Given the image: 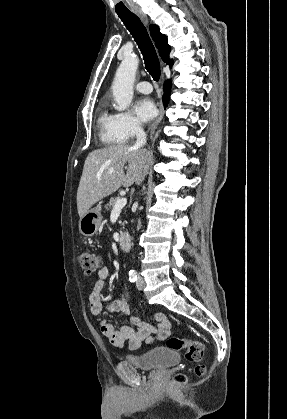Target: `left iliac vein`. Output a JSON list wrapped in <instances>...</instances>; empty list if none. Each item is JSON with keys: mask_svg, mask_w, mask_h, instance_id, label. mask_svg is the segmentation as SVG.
<instances>
[{"mask_svg": "<svg viewBox=\"0 0 287 419\" xmlns=\"http://www.w3.org/2000/svg\"><path fill=\"white\" fill-rule=\"evenodd\" d=\"M136 286H137V289L138 290H142L143 289V287H144V279L141 276L138 278V281L136 283Z\"/></svg>", "mask_w": 287, "mask_h": 419, "instance_id": "obj_1", "label": "left iliac vein"}]
</instances>
